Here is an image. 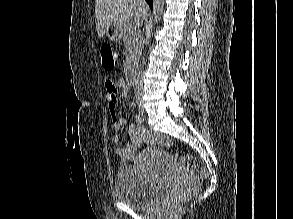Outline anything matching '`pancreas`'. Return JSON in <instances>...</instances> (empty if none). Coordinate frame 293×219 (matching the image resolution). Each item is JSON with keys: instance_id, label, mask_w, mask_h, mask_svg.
<instances>
[{"instance_id": "cf45deb5", "label": "pancreas", "mask_w": 293, "mask_h": 219, "mask_svg": "<svg viewBox=\"0 0 293 219\" xmlns=\"http://www.w3.org/2000/svg\"><path fill=\"white\" fill-rule=\"evenodd\" d=\"M123 42L126 48V59H125V69H131L140 53L141 46V34L140 31L136 28H129L124 35Z\"/></svg>"}]
</instances>
